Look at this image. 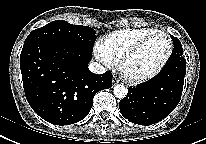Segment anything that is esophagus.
Wrapping results in <instances>:
<instances>
[{
    "mask_svg": "<svg viewBox=\"0 0 206 144\" xmlns=\"http://www.w3.org/2000/svg\"><path fill=\"white\" fill-rule=\"evenodd\" d=\"M112 83L115 85V84H118L120 83V79L116 78V77H113L112 79Z\"/></svg>",
    "mask_w": 206,
    "mask_h": 144,
    "instance_id": "obj_1",
    "label": "esophagus"
}]
</instances>
